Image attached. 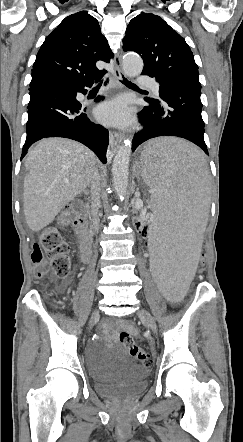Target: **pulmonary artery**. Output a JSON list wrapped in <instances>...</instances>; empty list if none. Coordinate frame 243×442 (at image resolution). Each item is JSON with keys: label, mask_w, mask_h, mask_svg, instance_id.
<instances>
[{"label": "pulmonary artery", "mask_w": 243, "mask_h": 442, "mask_svg": "<svg viewBox=\"0 0 243 442\" xmlns=\"http://www.w3.org/2000/svg\"><path fill=\"white\" fill-rule=\"evenodd\" d=\"M140 83L146 85L153 94H159V85L155 81L142 79Z\"/></svg>", "instance_id": "e3ab8cb5"}]
</instances>
